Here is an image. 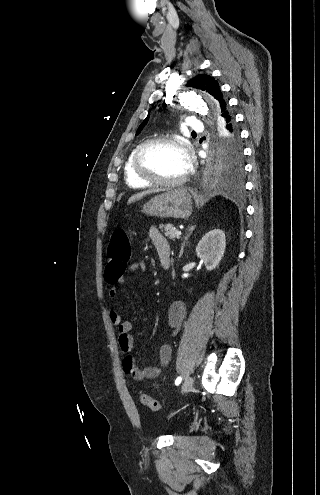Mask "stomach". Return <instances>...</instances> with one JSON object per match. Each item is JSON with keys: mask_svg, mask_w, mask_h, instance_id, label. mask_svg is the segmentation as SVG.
I'll return each mask as SVG.
<instances>
[{"mask_svg": "<svg viewBox=\"0 0 320 495\" xmlns=\"http://www.w3.org/2000/svg\"><path fill=\"white\" fill-rule=\"evenodd\" d=\"M142 213L160 218H188L192 214L191 195L185 188L166 191L144 204Z\"/></svg>", "mask_w": 320, "mask_h": 495, "instance_id": "stomach-1", "label": "stomach"}]
</instances>
